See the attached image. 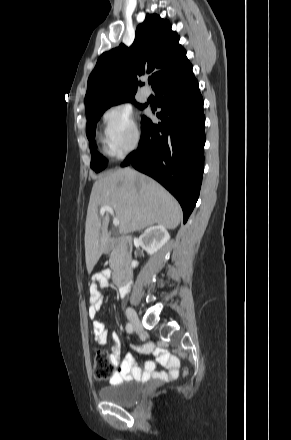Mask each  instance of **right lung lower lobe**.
Returning a JSON list of instances; mask_svg holds the SVG:
<instances>
[{
  "label": "right lung lower lobe",
  "mask_w": 291,
  "mask_h": 440,
  "mask_svg": "<svg viewBox=\"0 0 291 440\" xmlns=\"http://www.w3.org/2000/svg\"><path fill=\"white\" fill-rule=\"evenodd\" d=\"M154 91L162 108L157 114L161 123L142 117L139 147L122 166L132 164L169 190L182 207L185 223L198 200L203 176V98L192 65Z\"/></svg>",
  "instance_id": "1"
}]
</instances>
